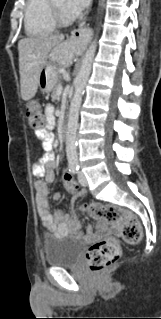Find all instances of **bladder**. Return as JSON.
Instances as JSON below:
<instances>
[{"instance_id": "31cf9c89", "label": "bladder", "mask_w": 161, "mask_h": 319, "mask_svg": "<svg viewBox=\"0 0 161 319\" xmlns=\"http://www.w3.org/2000/svg\"><path fill=\"white\" fill-rule=\"evenodd\" d=\"M83 250L84 243L70 235H46L43 239L44 263L47 266H72L81 258Z\"/></svg>"}]
</instances>
